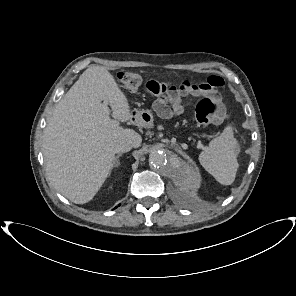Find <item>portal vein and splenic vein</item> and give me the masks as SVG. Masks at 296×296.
<instances>
[{
	"instance_id": "18ae733b",
	"label": "portal vein and splenic vein",
	"mask_w": 296,
	"mask_h": 296,
	"mask_svg": "<svg viewBox=\"0 0 296 296\" xmlns=\"http://www.w3.org/2000/svg\"><path fill=\"white\" fill-rule=\"evenodd\" d=\"M104 108H105V110H107V107H106V106H104ZM113 123H114L115 125H119V122H118L117 120H113Z\"/></svg>"
}]
</instances>
